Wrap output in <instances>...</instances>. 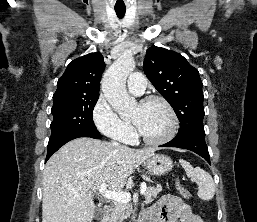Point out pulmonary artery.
<instances>
[{"label":"pulmonary artery","mask_w":257,"mask_h":222,"mask_svg":"<svg viewBox=\"0 0 257 222\" xmlns=\"http://www.w3.org/2000/svg\"><path fill=\"white\" fill-rule=\"evenodd\" d=\"M128 90L134 95H141L146 88V78L141 73L130 75L127 81Z\"/></svg>","instance_id":"obj_1"}]
</instances>
